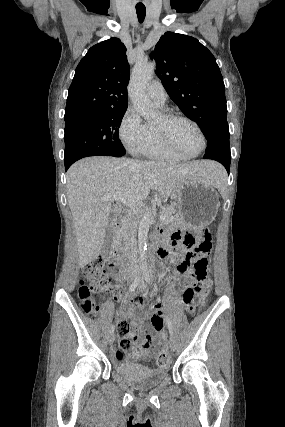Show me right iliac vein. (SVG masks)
Segmentation results:
<instances>
[{
	"instance_id": "obj_1",
	"label": "right iliac vein",
	"mask_w": 285,
	"mask_h": 427,
	"mask_svg": "<svg viewBox=\"0 0 285 427\" xmlns=\"http://www.w3.org/2000/svg\"><path fill=\"white\" fill-rule=\"evenodd\" d=\"M115 340V335L113 333H110L108 336V343L111 345Z\"/></svg>"
}]
</instances>
